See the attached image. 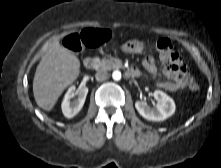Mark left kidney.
Masks as SVG:
<instances>
[{"label": "left kidney", "instance_id": "5707ae66", "mask_svg": "<svg viewBox=\"0 0 221 168\" xmlns=\"http://www.w3.org/2000/svg\"><path fill=\"white\" fill-rule=\"evenodd\" d=\"M154 98L158 101L155 107H149L145 102L137 101L135 107L138 113L149 121H164L175 112L173 99L161 90L154 91Z\"/></svg>", "mask_w": 221, "mask_h": 168}]
</instances>
